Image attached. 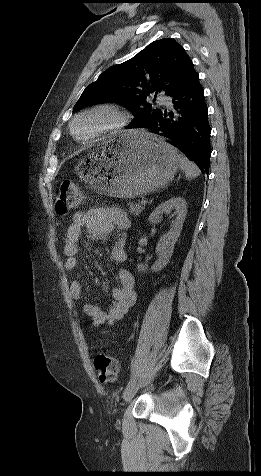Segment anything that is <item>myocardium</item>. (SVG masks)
Instances as JSON below:
<instances>
[{
	"label": "myocardium",
	"mask_w": 261,
	"mask_h": 476,
	"mask_svg": "<svg viewBox=\"0 0 261 476\" xmlns=\"http://www.w3.org/2000/svg\"><path fill=\"white\" fill-rule=\"evenodd\" d=\"M101 114H105L109 117V121L105 125L86 138H80L76 135L74 126L78 120ZM128 121L129 113L125 108L116 103L103 102L89 106L75 114L69 123V131L75 141L87 144L105 135L119 132L127 125Z\"/></svg>",
	"instance_id": "1"
}]
</instances>
